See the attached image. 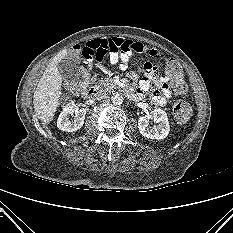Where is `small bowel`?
Masks as SVG:
<instances>
[{
  "instance_id": "obj_1",
  "label": "small bowel",
  "mask_w": 233,
  "mask_h": 233,
  "mask_svg": "<svg viewBox=\"0 0 233 233\" xmlns=\"http://www.w3.org/2000/svg\"><path fill=\"white\" fill-rule=\"evenodd\" d=\"M79 51L90 71L93 68V60L101 61L106 55H109L111 63L124 70L127 68L133 54L145 53L153 57L156 62H146L144 64L143 77L139 80L138 87L132 90L135 97H142L144 91L148 90L153 84L155 89L151 94V100L158 106H164L175 93L169 88L166 75H156L164 65V54L158 49L146 47L140 42L122 38H98L86 42L79 48ZM129 77L135 81L139 79L138 74L135 72H131Z\"/></svg>"
}]
</instances>
